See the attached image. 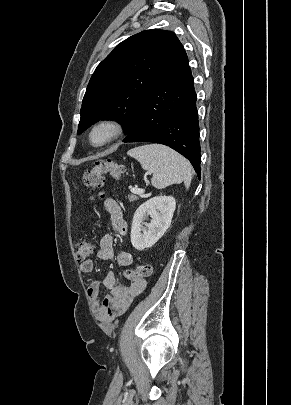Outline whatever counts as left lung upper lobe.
Instances as JSON below:
<instances>
[{
    "label": "left lung upper lobe",
    "instance_id": "left-lung-upper-lobe-1",
    "mask_svg": "<svg viewBox=\"0 0 291 405\" xmlns=\"http://www.w3.org/2000/svg\"><path fill=\"white\" fill-rule=\"evenodd\" d=\"M182 50L173 32L156 29L142 31L117 45L89 81L77 133L102 118H111L129 134L146 94Z\"/></svg>",
    "mask_w": 291,
    "mask_h": 405
}]
</instances>
